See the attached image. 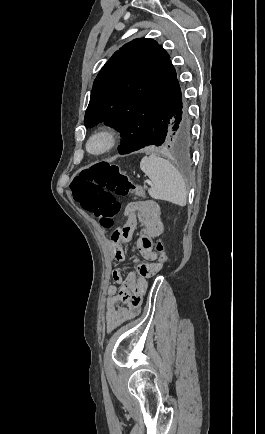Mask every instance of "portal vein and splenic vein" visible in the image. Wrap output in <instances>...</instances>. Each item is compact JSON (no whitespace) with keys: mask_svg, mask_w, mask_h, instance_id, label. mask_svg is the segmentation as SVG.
<instances>
[{"mask_svg":"<svg viewBox=\"0 0 265 434\" xmlns=\"http://www.w3.org/2000/svg\"><path fill=\"white\" fill-rule=\"evenodd\" d=\"M146 184H151L150 180H145Z\"/></svg>","mask_w":265,"mask_h":434,"instance_id":"1","label":"portal vein and splenic vein"}]
</instances>
